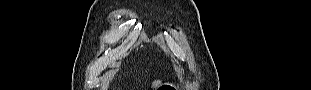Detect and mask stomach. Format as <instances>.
Masks as SVG:
<instances>
[{
    "label": "stomach",
    "mask_w": 311,
    "mask_h": 90,
    "mask_svg": "<svg viewBox=\"0 0 311 90\" xmlns=\"http://www.w3.org/2000/svg\"><path fill=\"white\" fill-rule=\"evenodd\" d=\"M173 89V86L171 84H162L159 86L158 90H171Z\"/></svg>",
    "instance_id": "obj_1"
}]
</instances>
